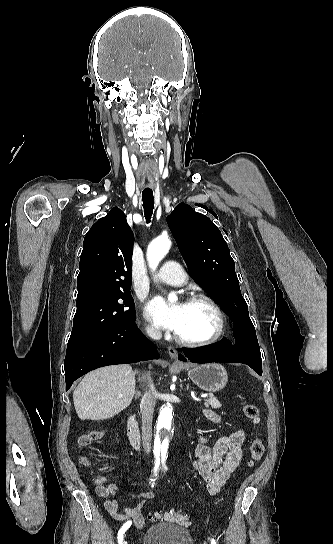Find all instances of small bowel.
Listing matches in <instances>:
<instances>
[{
  "mask_svg": "<svg viewBox=\"0 0 333 544\" xmlns=\"http://www.w3.org/2000/svg\"><path fill=\"white\" fill-rule=\"evenodd\" d=\"M205 416L212 422H219L220 417L212 410H205ZM245 433L243 429H234L219 437L213 446L209 445L206 437H200L195 447V457L192 466L194 470L206 482V488L210 495H216L225 485L230 475L238 466L243 450ZM106 478L99 477L96 480V494L105 499L104 508L115 520L130 522L136 528H142L145 518L142 509L148 500L154 498V491L141 493H128L130 499L138 500L133 508L121 509L113 496L120 491L118 485L110 483L105 485Z\"/></svg>",
  "mask_w": 333,
  "mask_h": 544,
  "instance_id": "c3829d8e",
  "label": "small bowel"
}]
</instances>
